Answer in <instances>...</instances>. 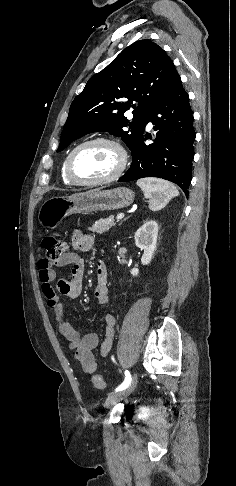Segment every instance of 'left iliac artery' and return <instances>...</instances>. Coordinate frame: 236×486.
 <instances>
[{"label":"left iliac artery","instance_id":"left-iliac-artery-1","mask_svg":"<svg viewBox=\"0 0 236 486\" xmlns=\"http://www.w3.org/2000/svg\"><path fill=\"white\" fill-rule=\"evenodd\" d=\"M112 359L114 360V358H112ZM131 379L132 378H131L129 371L126 370L125 371V380L123 381V383L120 386H118L116 388L115 391L117 392V391H121V390L127 388L129 386V384L131 383Z\"/></svg>","mask_w":236,"mask_h":486}]
</instances>
